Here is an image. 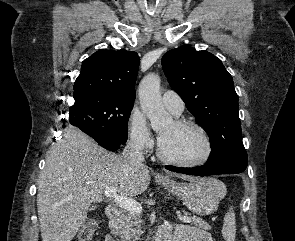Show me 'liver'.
Wrapping results in <instances>:
<instances>
[{"mask_svg": "<svg viewBox=\"0 0 295 241\" xmlns=\"http://www.w3.org/2000/svg\"><path fill=\"white\" fill-rule=\"evenodd\" d=\"M149 183L145 165H131L84 133L66 129L63 138L47 152L39 176L37 209L42 241H71L87 218L89 206L102 201L107 187L131 198L143 193Z\"/></svg>", "mask_w": 295, "mask_h": 241, "instance_id": "obj_1", "label": "liver"}]
</instances>
